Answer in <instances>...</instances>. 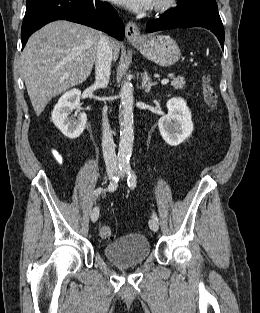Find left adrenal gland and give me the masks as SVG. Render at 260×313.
Listing matches in <instances>:
<instances>
[{"mask_svg":"<svg viewBox=\"0 0 260 313\" xmlns=\"http://www.w3.org/2000/svg\"><path fill=\"white\" fill-rule=\"evenodd\" d=\"M156 82L150 81L149 75L147 72H144L142 75V88L146 93H149L151 91L152 86L156 85Z\"/></svg>","mask_w":260,"mask_h":313,"instance_id":"obj_1","label":"left adrenal gland"}]
</instances>
